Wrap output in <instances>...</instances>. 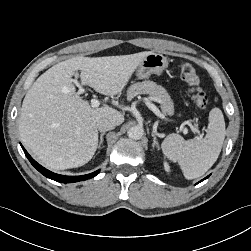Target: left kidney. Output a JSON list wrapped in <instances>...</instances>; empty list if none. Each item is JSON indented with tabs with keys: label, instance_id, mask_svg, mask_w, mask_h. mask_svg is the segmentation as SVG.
<instances>
[{
	"label": "left kidney",
	"instance_id": "obj_1",
	"mask_svg": "<svg viewBox=\"0 0 251 251\" xmlns=\"http://www.w3.org/2000/svg\"><path fill=\"white\" fill-rule=\"evenodd\" d=\"M164 168L166 172H170V166L167 162L164 163Z\"/></svg>",
	"mask_w": 251,
	"mask_h": 251
}]
</instances>
